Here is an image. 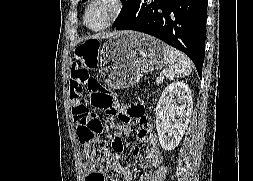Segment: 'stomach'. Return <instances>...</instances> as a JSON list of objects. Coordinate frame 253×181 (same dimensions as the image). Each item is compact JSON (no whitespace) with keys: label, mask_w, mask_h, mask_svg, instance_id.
Instances as JSON below:
<instances>
[{"label":"stomach","mask_w":253,"mask_h":181,"mask_svg":"<svg viewBox=\"0 0 253 181\" xmlns=\"http://www.w3.org/2000/svg\"><path fill=\"white\" fill-rule=\"evenodd\" d=\"M164 43L134 31H122L109 38L100 51V72L112 89L127 88L144 73L164 65Z\"/></svg>","instance_id":"obj_1"}]
</instances>
